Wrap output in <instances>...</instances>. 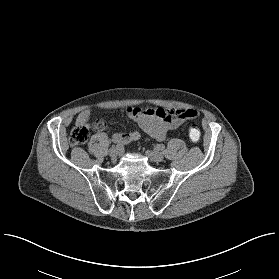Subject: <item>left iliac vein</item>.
Instances as JSON below:
<instances>
[{"instance_id": "1", "label": "left iliac vein", "mask_w": 279, "mask_h": 279, "mask_svg": "<svg viewBox=\"0 0 279 279\" xmlns=\"http://www.w3.org/2000/svg\"><path fill=\"white\" fill-rule=\"evenodd\" d=\"M146 154H147L148 157H150L155 162H161L164 159V155L160 152L147 150Z\"/></svg>"}]
</instances>
